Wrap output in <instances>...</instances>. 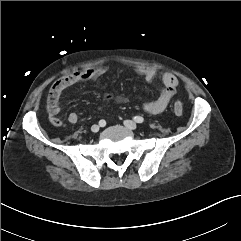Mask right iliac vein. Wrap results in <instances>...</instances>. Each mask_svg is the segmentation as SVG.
I'll return each mask as SVG.
<instances>
[{
  "mask_svg": "<svg viewBox=\"0 0 241 241\" xmlns=\"http://www.w3.org/2000/svg\"><path fill=\"white\" fill-rule=\"evenodd\" d=\"M91 131H92L93 133H97V132L99 131V126H98V125H93V126L91 127Z\"/></svg>",
  "mask_w": 241,
  "mask_h": 241,
  "instance_id": "obj_1",
  "label": "right iliac vein"
}]
</instances>
